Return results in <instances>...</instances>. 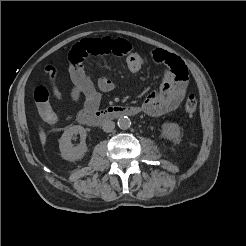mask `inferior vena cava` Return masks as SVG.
I'll list each match as a JSON object with an SVG mask.
<instances>
[{"label": "inferior vena cava", "instance_id": "inferior-vena-cava-1", "mask_svg": "<svg viewBox=\"0 0 246 246\" xmlns=\"http://www.w3.org/2000/svg\"><path fill=\"white\" fill-rule=\"evenodd\" d=\"M115 128V123L111 120H107L103 123L102 129L104 132H112L113 129Z\"/></svg>", "mask_w": 246, "mask_h": 246}]
</instances>
